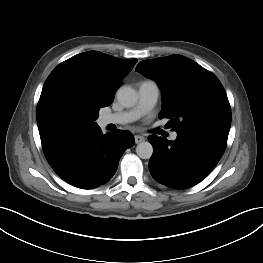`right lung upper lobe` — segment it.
I'll return each instance as SVG.
<instances>
[{
	"mask_svg": "<svg viewBox=\"0 0 263 263\" xmlns=\"http://www.w3.org/2000/svg\"><path fill=\"white\" fill-rule=\"evenodd\" d=\"M136 62L137 59H120L98 51L75 55L51 72L43 86L40 99L51 88L67 84L82 88L108 106L114 99L119 83Z\"/></svg>",
	"mask_w": 263,
	"mask_h": 263,
	"instance_id": "1",
	"label": "right lung upper lobe"
}]
</instances>
